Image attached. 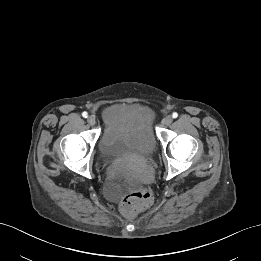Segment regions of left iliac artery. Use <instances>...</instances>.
Here are the masks:
<instances>
[{"instance_id": "left-iliac-artery-1", "label": "left iliac artery", "mask_w": 261, "mask_h": 261, "mask_svg": "<svg viewBox=\"0 0 261 261\" xmlns=\"http://www.w3.org/2000/svg\"><path fill=\"white\" fill-rule=\"evenodd\" d=\"M172 117H173V118H177V117H178V114H177L176 112H174V113L172 114Z\"/></svg>"}]
</instances>
